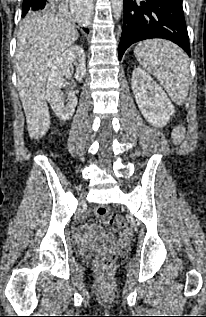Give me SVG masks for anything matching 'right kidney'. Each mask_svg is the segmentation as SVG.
Wrapping results in <instances>:
<instances>
[{"instance_id":"right-kidney-1","label":"right kidney","mask_w":206,"mask_h":317,"mask_svg":"<svg viewBox=\"0 0 206 317\" xmlns=\"http://www.w3.org/2000/svg\"><path fill=\"white\" fill-rule=\"evenodd\" d=\"M76 67L75 77L81 80L86 74V63L84 50L74 45L65 50L54 62L48 75L46 87V98L52 109L61 120H69L75 111L77 97L74 92L68 94L66 103L60 89L65 85L64 76L71 75L70 69Z\"/></svg>"}]
</instances>
